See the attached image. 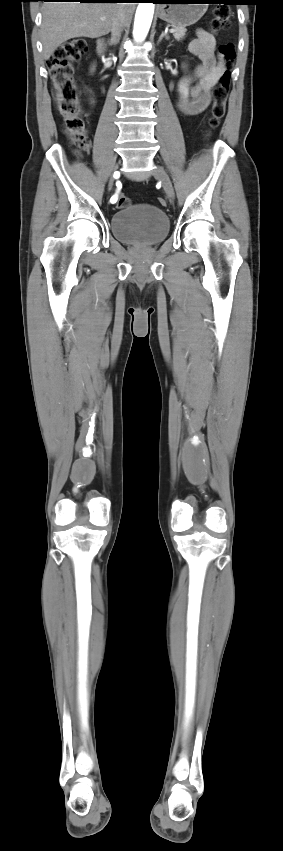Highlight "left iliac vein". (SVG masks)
Listing matches in <instances>:
<instances>
[{
  "label": "left iliac vein",
  "mask_w": 283,
  "mask_h": 851,
  "mask_svg": "<svg viewBox=\"0 0 283 851\" xmlns=\"http://www.w3.org/2000/svg\"><path fill=\"white\" fill-rule=\"evenodd\" d=\"M153 174L161 182L163 189H164L165 193L167 194V196L170 198L171 201H173L174 189H173L171 180H170L168 174L166 173V171L162 167L157 166L155 168V170L153 171Z\"/></svg>",
  "instance_id": "obj_1"
}]
</instances>
